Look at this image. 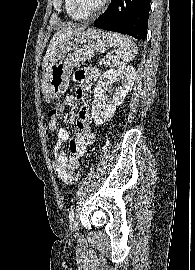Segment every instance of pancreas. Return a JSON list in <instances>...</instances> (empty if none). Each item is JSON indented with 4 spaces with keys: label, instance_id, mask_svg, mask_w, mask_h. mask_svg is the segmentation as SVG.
I'll return each instance as SVG.
<instances>
[{
    "label": "pancreas",
    "instance_id": "obj_1",
    "mask_svg": "<svg viewBox=\"0 0 195 270\" xmlns=\"http://www.w3.org/2000/svg\"><path fill=\"white\" fill-rule=\"evenodd\" d=\"M100 64H103L105 66L111 65V58L103 57L100 59Z\"/></svg>",
    "mask_w": 195,
    "mask_h": 270
}]
</instances>
